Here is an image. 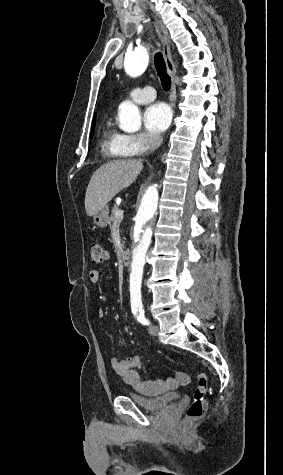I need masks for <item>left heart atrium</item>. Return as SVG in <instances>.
<instances>
[{
  "label": "left heart atrium",
  "mask_w": 283,
  "mask_h": 475,
  "mask_svg": "<svg viewBox=\"0 0 283 475\" xmlns=\"http://www.w3.org/2000/svg\"><path fill=\"white\" fill-rule=\"evenodd\" d=\"M172 118L171 107L164 102H156L146 109L143 121L148 131L160 134L170 127Z\"/></svg>",
  "instance_id": "39dd6f15"
}]
</instances>
